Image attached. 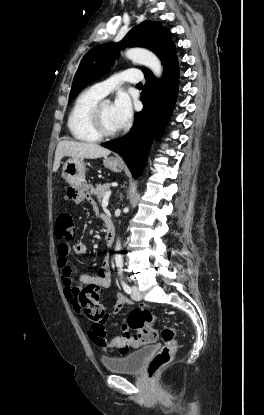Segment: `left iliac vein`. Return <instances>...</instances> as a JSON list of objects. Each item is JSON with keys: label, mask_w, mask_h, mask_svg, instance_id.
Wrapping results in <instances>:
<instances>
[{"label": "left iliac vein", "mask_w": 264, "mask_h": 415, "mask_svg": "<svg viewBox=\"0 0 264 415\" xmlns=\"http://www.w3.org/2000/svg\"><path fill=\"white\" fill-rule=\"evenodd\" d=\"M131 297L135 301L141 300V293H140L139 288L137 286H132Z\"/></svg>", "instance_id": "left-iliac-vein-1"}]
</instances>
